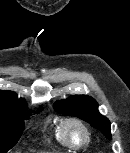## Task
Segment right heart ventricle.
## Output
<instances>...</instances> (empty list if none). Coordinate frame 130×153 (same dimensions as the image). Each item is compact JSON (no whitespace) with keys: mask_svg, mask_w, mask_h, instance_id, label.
Returning a JSON list of instances; mask_svg holds the SVG:
<instances>
[{"mask_svg":"<svg viewBox=\"0 0 130 153\" xmlns=\"http://www.w3.org/2000/svg\"><path fill=\"white\" fill-rule=\"evenodd\" d=\"M61 124H62L61 121L53 122L48 126L47 131L53 137V139L56 142H58L60 145L70 148L67 145L64 136L62 134Z\"/></svg>","mask_w":130,"mask_h":153,"instance_id":"e07e8e85","label":"right heart ventricle"}]
</instances>
